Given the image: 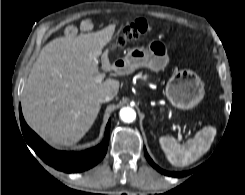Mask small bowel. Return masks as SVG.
<instances>
[{"instance_id":"1","label":"small bowel","mask_w":245,"mask_h":195,"mask_svg":"<svg viewBox=\"0 0 245 195\" xmlns=\"http://www.w3.org/2000/svg\"><path fill=\"white\" fill-rule=\"evenodd\" d=\"M97 24L98 22L96 19L86 18L81 22L80 29L82 31H90L94 29L97 26ZM77 32H78V28L75 25H68L64 30L65 35L68 37L75 36Z\"/></svg>"}]
</instances>
